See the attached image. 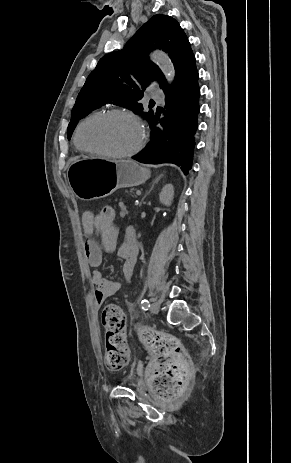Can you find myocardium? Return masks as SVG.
I'll list each match as a JSON object with an SVG mask.
<instances>
[{"instance_id": "myocardium-1", "label": "myocardium", "mask_w": 291, "mask_h": 463, "mask_svg": "<svg viewBox=\"0 0 291 463\" xmlns=\"http://www.w3.org/2000/svg\"><path fill=\"white\" fill-rule=\"evenodd\" d=\"M111 115L124 116L130 119L137 126L138 131H139V139H138L137 144L132 149L128 151H124V152H113V151L104 150V149L91 148V147L84 145L80 139V133H81L82 127L93 118L100 117V116H111ZM74 141H75L76 146L79 149H81L84 152L90 153V154L102 155V156L111 157V158H127V157H132L136 155L143 148L146 142V129L143 123L141 122V120L132 111L123 109V108H113V109L94 112L90 114L89 116L85 117L78 124L76 128L75 135H74Z\"/></svg>"}]
</instances>
